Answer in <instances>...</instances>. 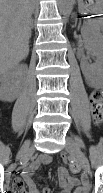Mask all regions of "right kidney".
Returning a JSON list of instances; mask_svg holds the SVG:
<instances>
[{
	"label": "right kidney",
	"instance_id": "obj_1",
	"mask_svg": "<svg viewBox=\"0 0 103 193\" xmlns=\"http://www.w3.org/2000/svg\"><path fill=\"white\" fill-rule=\"evenodd\" d=\"M26 65H17L5 72H1L0 76V99L2 101H14L20 90L19 77L25 71Z\"/></svg>",
	"mask_w": 103,
	"mask_h": 193
}]
</instances>
